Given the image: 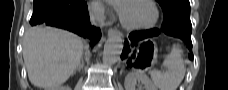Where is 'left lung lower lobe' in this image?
I'll use <instances>...</instances> for the list:
<instances>
[{
    "label": "left lung lower lobe",
    "instance_id": "1",
    "mask_svg": "<svg viewBox=\"0 0 228 90\" xmlns=\"http://www.w3.org/2000/svg\"><path fill=\"white\" fill-rule=\"evenodd\" d=\"M192 28V27H191ZM191 28H187L185 26H177V25H162L163 32L167 35L178 37L181 40H183L189 50L191 51L189 55V59H193V54H192V42H191ZM160 34V31L158 29H151V30H146V31H139V32H133L129 35V39L132 42L139 41L148 37L156 36ZM129 44L128 42H125L124 44V50L122 52L121 58L124 59L129 53Z\"/></svg>",
    "mask_w": 228,
    "mask_h": 90
}]
</instances>
